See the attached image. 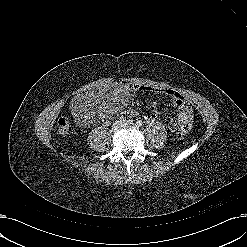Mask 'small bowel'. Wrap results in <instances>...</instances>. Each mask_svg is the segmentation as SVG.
Wrapping results in <instances>:
<instances>
[{
  "mask_svg": "<svg viewBox=\"0 0 247 247\" xmlns=\"http://www.w3.org/2000/svg\"><path fill=\"white\" fill-rule=\"evenodd\" d=\"M135 92H156L162 93L169 96L172 100L174 107L178 111V115L175 118H170L168 123L172 130H176L178 128H184L186 130L190 129L193 122V111L191 106L189 105L187 99L179 92L170 89L163 88L161 86H153V85H134ZM156 115H152L151 118H155Z\"/></svg>",
  "mask_w": 247,
  "mask_h": 247,
  "instance_id": "obj_1",
  "label": "small bowel"
}]
</instances>
